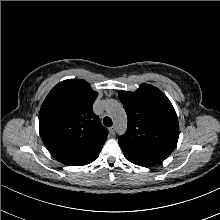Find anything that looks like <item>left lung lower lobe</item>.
Returning <instances> with one entry per match:
<instances>
[{
	"instance_id": "obj_1",
	"label": "left lung lower lobe",
	"mask_w": 220,
	"mask_h": 220,
	"mask_svg": "<svg viewBox=\"0 0 220 220\" xmlns=\"http://www.w3.org/2000/svg\"><path fill=\"white\" fill-rule=\"evenodd\" d=\"M126 159L129 160L130 162L136 164V165H140V166H145V167H148L150 165H148L147 163H144L142 161H139V160H135L134 158H132L131 156H126Z\"/></svg>"
}]
</instances>
